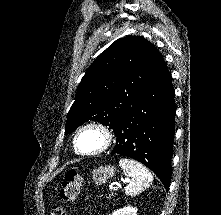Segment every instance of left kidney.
<instances>
[{
  "mask_svg": "<svg viewBox=\"0 0 221 215\" xmlns=\"http://www.w3.org/2000/svg\"><path fill=\"white\" fill-rule=\"evenodd\" d=\"M112 215H137V209L127 206L117 211H114Z\"/></svg>",
  "mask_w": 221,
  "mask_h": 215,
  "instance_id": "left-kidney-1",
  "label": "left kidney"
}]
</instances>
